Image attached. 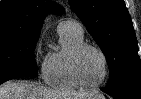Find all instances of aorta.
Here are the masks:
<instances>
[{"label": "aorta", "instance_id": "762f6f07", "mask_svg": "<svg viewBox=\"0 0 141 99\" xmlns=\"http://www.w3.org/2000/svg\"><path fill=\"white\" fill-rule=\"evenodd\" d=\"M50 20V17H48L47 19H46V22H48Z\"/></svg>", "mask_w": 141, "mask_h": 99}]
</instances>
